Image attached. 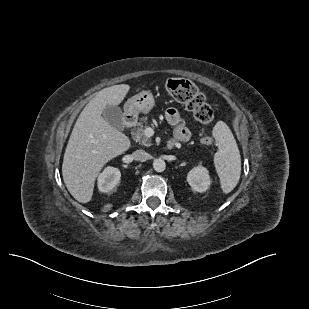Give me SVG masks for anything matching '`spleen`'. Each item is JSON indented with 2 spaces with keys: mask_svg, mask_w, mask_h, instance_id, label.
Returning a JSON list of instances; mask_svg holds the SVG:
<instances>
[{
  "mask_svg": "<svg viewBox=\"0 0 309 309\" xmlns=\"http://www.w3.org/2000/svg\"><path fill=\"white\" fill-rule=\"evenodd\" d=\"M213 137L218 143L214 156L216 172L223 193H230L238 184L241 174V157L236 140L230 128L218 121L213 128Z\"/></svg>",
  "mask_w": 309,
  "mask_h": 309,
  "instance_id": "spleen-1",
  "label": "spleen"
}]
</instances>
